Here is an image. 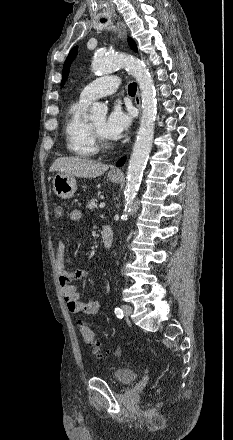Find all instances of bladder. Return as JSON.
Here are the masks:
<instances>
[{
    "instance_id": "bladder-1",
    "label": "bladder",
    "mask_w": 233,
    "mask_h": 440,
    "mask_svg": "<svg viewBox=\"0 0 233 440\" xmlns=\"http://www.w3.org/2000/svg\"><path fill=\"white\" fill-rule=\"evenodd\" d=\"M137 371L130 368H118L112 373V380L119 385H128L137 378Z\"/></svg>"
}]
</instances>
